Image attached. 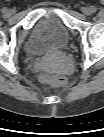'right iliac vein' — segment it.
Segmentation results:
<instances>
[{"label":"right iliac vein","mask_w":104,"mask_h":137,"mask_svg":"<svg viewBox=\"0 0 104 137\" xmlns=\"http://www.w3.org/2000/svg\"><path fill=\"white\" fill-rule=\"evenodd\" d=\"M7 13H8L9 15H11V14H13V11H12V10H9V11H7Z\"/></svg>","instance_id":"right-iliac-vein-1"}]
</instances>
